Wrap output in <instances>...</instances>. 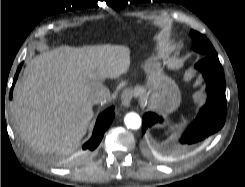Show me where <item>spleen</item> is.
Here are the masks:
<instances>
[{
	"instance_id": "obj_1",
	"label": "spleen",
	"mask_w": 245,
	"mask_h": 187,
	"mask_svg": "<svg viewBox=\"0 0 245 187\" xmlns=\"http://www.w3.org/2000/svg\"><path fill=\"white\" fill-rule=\"evenodd\" d=\"M183 125H185V123H181L179 125H176V128L178 129V128L182 127Z\"/></svg>"
}]
</instances>
